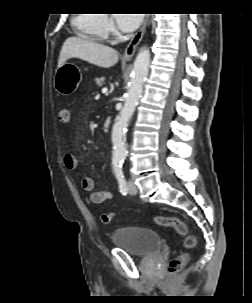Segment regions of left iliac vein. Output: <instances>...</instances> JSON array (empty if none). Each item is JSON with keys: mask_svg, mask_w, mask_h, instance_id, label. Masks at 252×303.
<instances>
[{"mask_svg": "<svg viewBox=\"0 0 252 303\" xmlns=\"http://www.w3.org/2000/svg\"><path fill=\"white\" fill-rule=\"evenodd\" d=\"M127 190L130 194H136L137 193V188L131 180H129L128 183H127Z\"/></svg>", "mask_w": 252, "mask_h": 303, "instance_id": "obj_1", "label": "left iliac vein"}]
</instances>
